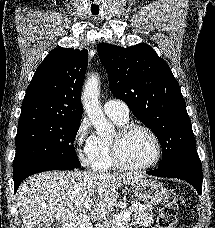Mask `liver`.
<instances>
[{
	"instance_id": "liver-1",
	"label": "liver",
	"mask_w": 215,
	"mask_h": 228,
	"mask_svg": "<svg viewBox=\"0 0 215 228\" xmlns=\"http://www.w3.org/2000/svg\"><path fill=\"white\" fill-rule=\"evenodd\" d=\"M134 174L92 172H41L26 178L16 194L25 228H93L83 204L95 202L96 228H108L106 218L119 198L118 188L140 182Z\"/></svg>"
}]
</instances>
